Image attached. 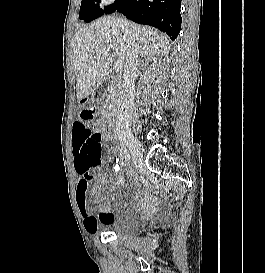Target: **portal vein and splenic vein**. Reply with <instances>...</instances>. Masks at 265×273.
<instances>
[{
	"label": "portal vein and splenic vein",
	"mask_w": 265,
	"mask_h": 273,
	"mask_svg": "<svg viewBox=\"0 0 265 273\" xmlns=\"http://www.w3.org/2000/svg\"><path fill=\"white\" fill-rule=\"evenodd\" d=\"M123 67H124V62H123V61L118 60V61H116V62L114 63V69H115L116 71L122 70Z\"/></svg>",
	"instance_id": "18ae733b"
}]
</instances>
